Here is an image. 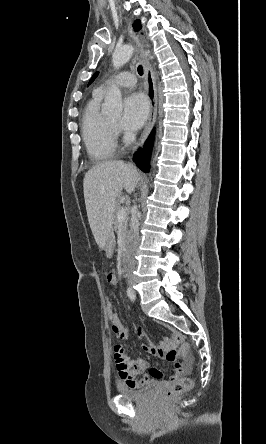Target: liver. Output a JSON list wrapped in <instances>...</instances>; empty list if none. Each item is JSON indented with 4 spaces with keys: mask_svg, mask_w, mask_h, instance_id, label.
I'll return each instance as SVG.
<instances>
[{
    "mask_svg": "<svg viewBox=\"0 0 266 444\" xmlns=\"http://www.w3.org/2000/svg\"><path fill=\"white\" fill-rule=\"evenodd\" d=\"M139 174L131 164L123 161H106L93 166L83 180L88 221L100 249L110 237L114 221L116 197L124 188L132 193Z\"/></svg>",
    "mask_w": 266,
    "mask_h": 444,
    "instance_id": "1",
    "label": "liver"
}]
</instances>
